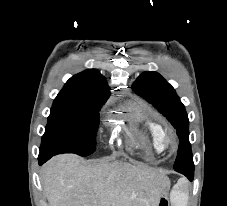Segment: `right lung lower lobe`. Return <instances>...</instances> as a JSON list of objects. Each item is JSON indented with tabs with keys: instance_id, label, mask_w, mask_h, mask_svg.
Wrapping results in <instances>:
<instances>
[{
	"instance_id": "obj_1",
	"label": "right lung lower lobe",
	"mask_w": 227,
	"mask_h": 206,
	"mask_svg": "<svg viewBox=\"0 0 227 206\" xmlns=\"http://www.w3.org/2000/svg\"><path fill=\"white\" fill-rule=\"evenodd\" d=\"M52 157V155H40L39 154V165L44 164L47 160H49Z\"/></svg>"
}]
</instances>
